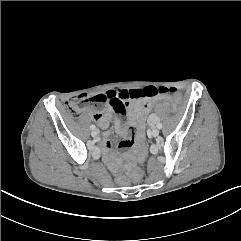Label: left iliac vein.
<instances>
[{
  "instance_id": "4c4485c4",
  "label": "left iliac vein",
  "mask_w": 241,
  "mask_h": 241,
  "mask_svg": "<svg viewBox=\"0 0 241 241\" xmlns=\"http://www.w3.org/2000/svg\"><path fill=\"white\" fill-rule=\"evenodd\" d=\"M158 134H159V130H158L157 128H153V129H152V135H153L154 137H156V136H158Z\"/></svg>"
}]
</instances>
